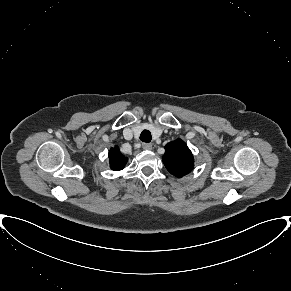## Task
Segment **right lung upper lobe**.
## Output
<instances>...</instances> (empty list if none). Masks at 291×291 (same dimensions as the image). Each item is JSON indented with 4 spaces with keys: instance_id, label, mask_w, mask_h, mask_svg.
I'll list each match as a JSON object with an SVG mask.
<instances>
[{
    "instance_id": "obj_1",
    "label": "right lung upper lobe",
    "mask_w": 291,
    "mask_h": 291,
    "mask_svg": "<svg viewBox=\"0 0 291 291\" xmlns=\"http://www.w3.org/2000/svg\"><path fill=\"white\" fill-rule=\"evenodd\" d=\"M110 167L113 170H121L127 163L128 158L121 154L118 147L111 148L109 151Z\"/></svg>"
}]
</instances>
